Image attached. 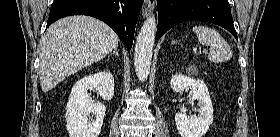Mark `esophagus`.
<instances>
[{"instance_id":"obj_1","label":"esophagus","mask_w":280,"mask_h":137,"mask_svg":"<svg viewBox=\"0 0 280 137\" xmlns=\"http://www.w3.org/2000/svg\"><path fill=\"white\" fill-rule=\"evenodd\" d=\"M155 9V0H145L142 17L149 18Z\"/></svg>"}]
</instances>
